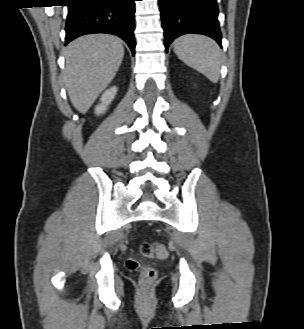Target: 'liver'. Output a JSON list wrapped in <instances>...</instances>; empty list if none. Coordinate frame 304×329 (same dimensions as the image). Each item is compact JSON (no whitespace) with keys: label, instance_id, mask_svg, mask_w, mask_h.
<instances>
[{"label":"liver","instance_id":"liver-1","mask_svg":"<svg viewBox=\"0 0 304 329\" xmlns=\"http://www.w3.org/2000/svg\"><path fill=\"white\" fill-rule=\"evenodd\" d=\"M124 56L118 37L85 35L66 48L64 82L73 106L86 113L116 75Z\"/></svg>","mask_w":304,"mask_h":329}]
</instances>
